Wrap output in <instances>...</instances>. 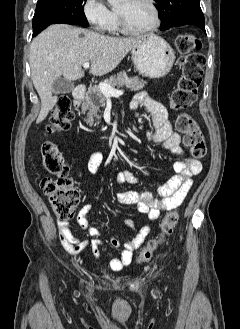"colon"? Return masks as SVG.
<instances>
[{
  "mask_svg": "<svg viewBox=\"0 0 240 329\" xmlns=\"http://www.w3.org/2000/svg\"><path fill=\"white\" fill-rule=\"evenodd\" d=\"M176 46L181 54L178 60L181 76L169 96V103L174 110L182 111L193 105L197 99L205 57L198 52L200 42L192 34H180L177 37ZM73 118L70 98L62 95L58 98L51 113L49 128L52 132L65 131L69 128ZM176 127L178 132L183 135L184 143L192 156L197 159L204 158L207 149L204 136L196 120L189 114L181 113L177 118ZM41 155L44 169L55 176V178L44 177L41 181L42 189L59 221L67 222L75 215L76 207L80 202V193L72 186L69 178L70 168L54 143L44 142L41 146ZM178 221L179 214L176 211L169 212L162 219L161 237L147 243L138 256V263H145L152 258L159 244L172 234Z\"/></svg>",
  "mask_w": 240,
  "mask_h": 329,
  "instance_id": "colon-1",
  "label": "colon"
}]
</instances>
